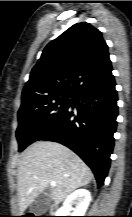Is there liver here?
<instances>
[{
	"mask_svg": "<svg viewBox=\"0 0 132 217\" xmlns=\"http://www.w3.org/2000/svg\"><path fill=\"white\" fill-rule=\"evenodd\" d=\"M93 178L90 168L69 148L38 141L22 153L18 165V209L23 214L34 199L50 186L51 200L62 202L72 191ZM51 181L56 186H51Z\"/></svg>",
	"mask_w": 132,
	"mask_h": 217,
	"instance_id": "liver-1",
	"label": "liver"
}]
</instances>
